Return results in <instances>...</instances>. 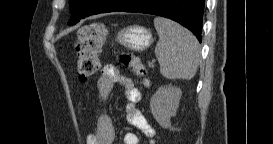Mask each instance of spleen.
<instances>
[{
    "label": "spleen",
    "mask_w": 273,
    "mask_h": 144,
    "mask_svg": "<svg viewBox=\"0 0 273 144\" xmlns=\"http://www.w3.org/2000/svg\"><path fill=\"white\" fill-rule=\"evenodd\" d=\"M154 26L159 35L155 55L162 76L167 79H192L200 57L195 36L178 23L163 17H156Z\"/></svg>",
    "instance_id": "spleen-1"
}]
</instances>
